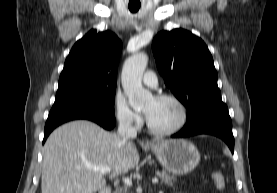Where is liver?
I'll return each instance as SVG.
<instances>
[{"instance_id":"1","label":"liver","mask_w":277,"mask_h":193,"mask_svg":"<svg viewBox=\"0 0 277 193\" xmlns=\"http://www.w3.org/2000/svg\"><path fill=\"white\" fill-rule=\"evenodd\" d=\"M135 144L97 124L77 120L54 130L43 152L42 193H95L106 186L105 173L87 165L108 166L109 179L139 163Z\"/></svg>"}]
</instances>
